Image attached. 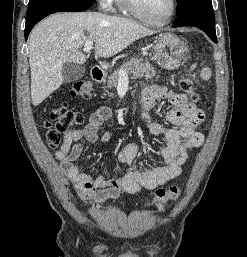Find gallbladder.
Returning a JSON list of instances; mask_svg holds the SVG:
<instances>
[{
	"label": "gallbladder",
	"mask_w": 247,
	"mask_h": 257,
	"mask_svg": "<svg viewBox=\"0 0 247 257\" xmlns=\"http://www.w3.org/2000/svg\"><path fill=\"white\" fill-rule=\"evenodd\" d=\"M85 75V68L74 63H65L62 67V78L65 83L81 79Z\"/></svg>",
	"instance_id": "bac80fb5"
}]
</instances>
